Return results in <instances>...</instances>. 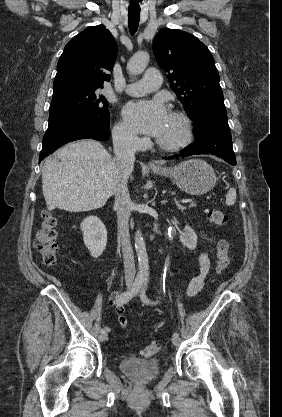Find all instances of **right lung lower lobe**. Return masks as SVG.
Instances as JSON below:
<instances>
[{
  "mask_svg": "<svg viewBox=\"0 0 282 417\" xmlns=\"http://www.w3.org/2000/svg\"><path fill=\"white\" fill-rule=\"evenodd\" d=\"M110 137L109 119L97 120L93 116L74 113L49 121L43 137L39 162L60 146L78 139L92 138L105 141Z\"/></svg>",
  "mask_w": 282,
  "mask_h": 417,
  "instance_id": "right-lung-lower-lobe-1",
  "label": "right lung lower lobe"
}]
</instances>
